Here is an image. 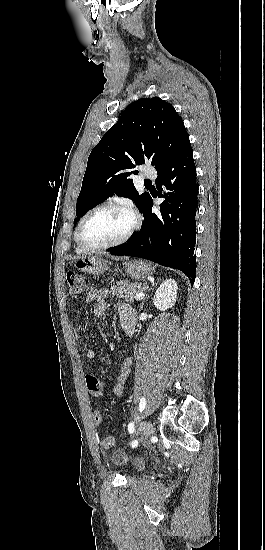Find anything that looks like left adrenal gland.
<instances>
[{
    "label": "left adrenal gland",
    "mask_w": 265,
    "mask_h": 550,
    "mask_svg": "<svg viewBox=\"0 0 265 550\" xmlns=\"http://www.w3.org/2000/svg\"><path fill=\"white\" fill-rule=\"evenodd\" d=\"M157 282H159V280H158ZM155 285H157V283H154V284L152 285V287L149 289V291H150ZM146 297H147V295H146ZM146 297L143 298L141 304L139 305V311H141V310L143 309V305H144V301H145Z\"/></svg>",
    "instance_id": "left-adrenal-gland-1"
}]
</instances>
